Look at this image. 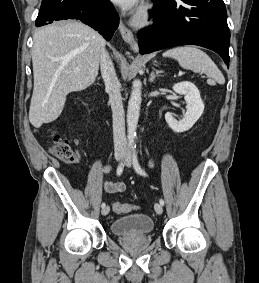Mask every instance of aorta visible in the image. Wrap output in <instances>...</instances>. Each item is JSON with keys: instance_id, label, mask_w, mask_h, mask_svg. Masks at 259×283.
<instances>
[{"instance_id": "obj_1", "label": "aorta", "mask_w": 259, "mask_h": 283, "mask_svg": "<svg viewBox=\"0 0 259 283\" xmlns=\"http://www.w3.org/2000/svg\"><path fill=\"white\" fill-rule=\"evenodd\" d=\"M141 81L134 80L127 110V138L130 145L134 144L141 105Z\"/></svg>"}]
</instances>
